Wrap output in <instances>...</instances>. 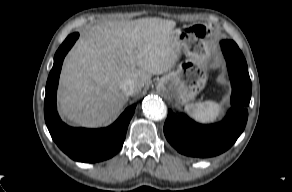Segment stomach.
<instances>
[{"label": "stomach", "mask_w": 292, "mask_h": 192, "mask_svg": "<svg viewBox=\"0 0 292 192\" xmlns=\"http://www.w3.org/2000/svg\"><path fill=\"white\" fill-rule=\"evenodd\" d=\"M176 32L186 59L159 80L157 90L168 98L187 103L206 85L213 53L212 40L210 28L205 25H191Z\"/></svg>", "instance_id": "0dacf381"}]
</instances>
